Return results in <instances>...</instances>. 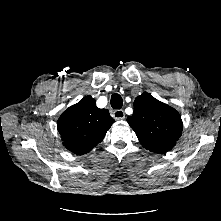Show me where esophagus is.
Returning a JSON list of instances; mask_svg holds the SVG:
<instances>
[{"label": "esophagus", "mask_w": 221, "mask_h": 221, "mask_svg": "<svg viewBox=\"0 0 221 221\" xmlns=\"http://www.w3.org/2000/svg\"><path fill=\"white\" fill-rule=\"evenodd\" d=\"M112 116L115 120H122L125 118V112L123 110H115Z\"/></svg>", "instance_id": "esophagus-1"}]
</instances>
